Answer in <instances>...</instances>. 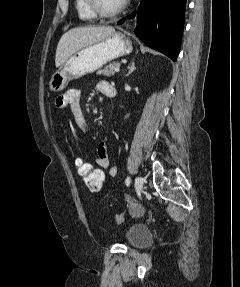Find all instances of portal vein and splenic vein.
Wrapping results in <instances>:
<instances>
[{
	"mask_svg": "<svg viewBox=\"0 0 240 287\" xmlns=\"http://www.w3.org/2000/svg\"><path fill=\"white\" fill-rule=\"evenodd\" d=\"M119 70H120L119 67H116V68L114 69L115 72H119Z\"/></svg>",
	"mask_w": 240,
	"mask_h": 287,
	"instance_id": "obj_1",
	"label": "portal vein and splenic vein"
}]
</instances>
